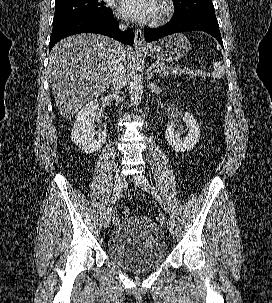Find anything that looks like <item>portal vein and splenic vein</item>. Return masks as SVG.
<instances>
[{
    "label": "portal vein and splenic vein",
    "mask_w": 272,
    "mask_h": 303,
    "mask_svg": "<svg viewBox=\"0 0 272 303\" xmlns=\"http://www.w3.org/2000/svg\"><path fill=\"white\" fill-rule=\"evenodd\" d=\"M155 72H156V73H160V72H161V69H160L159 67H156V68H155Z\"/></svg>",
    "instance_id": "18ae733b"
}]
</instances>
